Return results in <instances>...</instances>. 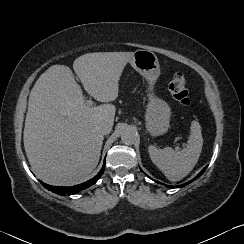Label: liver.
<instances>
[{
    "label": "liver",
    "mask_w": 244,
    "mask_h": 244,
    "mask_svg": "<svg viewBox=\"0 0 244 244\" xmlns=\"http://www.w3.org/2000/svg\"><path fill=\"white\" fill-rule=\"evenodd\" d=\"M133 52L87 53L73 63L84 89L99 106L84 102L68 66L53 65L36 81L29 96L24 127L28 161L43 181L61 186L85 181L96 168L104 136L98 125L112 127L119 80Z\"/></svg>",
    "instance_id": "obj_1"
}]
</instances>
